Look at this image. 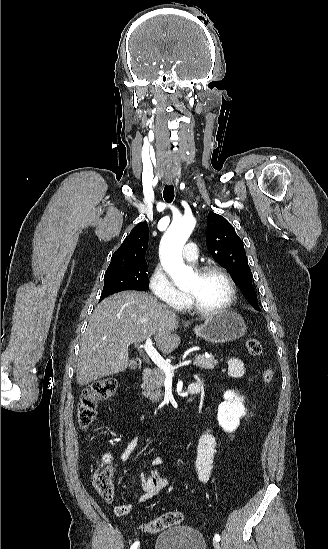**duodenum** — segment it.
Masks as SVG:
<instances>
[{"instance_id":"410a0bca","label":"duodenum","mask_w":328,"mask_h":549,"mask_svg":"<svg viewBox=\"0 0 328 549\" xmlns=\"http://www.w3.org/2000/svg\"><path fill=\"white\" fill-rule=\"evenodd\" d=\"M151 374H152V369L145 368L142 371V375H141L142 382L145 383L149 379ZM202 387H203V382L201 380H197L188 386L186 395L187 396L196 395L201 391Z\"/></svg>"}]
</instances>
